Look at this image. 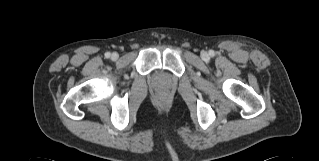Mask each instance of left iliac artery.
<instances>
[{
  "label": "left iliac artery",
  "mask_w": 319,
  "mask_h": 161,
  "mask_svg": "<svg viewBox=\"0 0 319 161\" xmlns=\"http://www.w3.org/2000/svg\"><path fill=\"white\" fill-rule=\"evenodd\" d=\"M209 54H210V56H214V51L210 50Z\"/></svg>",
  "instance_id": "1"
}]
</instances>
